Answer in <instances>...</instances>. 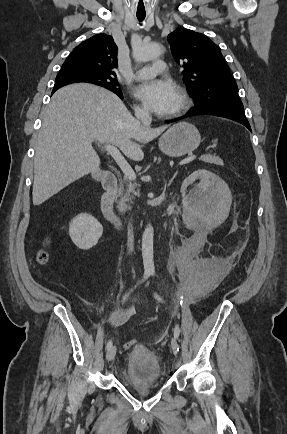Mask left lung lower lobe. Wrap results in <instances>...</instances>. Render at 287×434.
I'll return each mask as SVG.
<instances>
[{"label": "left lung lower lobe", "instance_id": "0a47b994", "mask_svg": "<svg viewBox=\"0 0 287 434\" xmlns=\"http://www.w3.org/2000/svg\"><path fill=\"white\" fill-rule=\"evenodd\" d=\"M195 115H214L219 117L228 118L231 120H234L236 122H239L246 126L250 131L251 127L250 124L245 116L243 106H230V105H223L219 107H206V106H199L192 108L185 116L180 117L178 119L174 120H168L167 123H171L189 116H195Z\"/></svg>", "mask_w": 287, "mask_h": 434}]
</instances>
